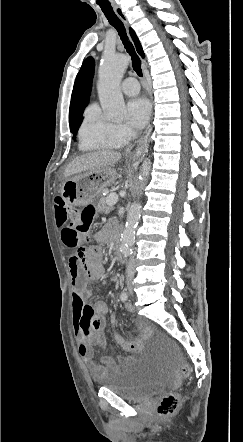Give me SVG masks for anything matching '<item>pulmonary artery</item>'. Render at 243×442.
I'll list each match as a JSON object with an SVG mask.
<instances>
[{
  "instance_id": "e3ab8cb5",
  "label": "pulmonary artery",
  "mask_w": 243,
  "mask_h": 442,
  "mask_svg": "<svg viewBox=\"0 0 243 442\" xmlns=\"http://www.w3.org/2000/svg\"><path fill=\"white\" fill-rule=\"evenodd\" d=\"M121 89L126 95L130 96L136 95L139 92V85L137 79L134 77L126 78L122 82Z\"/></svg>"
}]
</instances>
